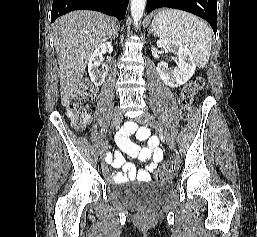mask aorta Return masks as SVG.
<instances>
[{"label":"aorta","mask_w":257,"mask_h":237,"mask_svg":"<svg viewBox=\"0 0 257 237\" xmlns=\"http://www.w3.org/2000/svg\"><path fill=\"white\" fill-rule=\"evenodd\" d=\"M145 6L146 0H131V16L136 27H138V23L143 17Z\"/></svg>","instance_id":"762f6f07"}]
</instances>
